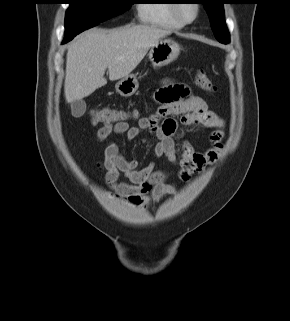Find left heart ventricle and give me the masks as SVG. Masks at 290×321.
<instances>
[{
    "mask_svg": "<svg viewBox=\"0 0 290 321\" xmlns=\"http://www.w3.org/2000/svg\"><path fill=\"white\" fill-rule=\"evenodd\" d=\"M181 12L185 18L191 19L194 17L195 9L191 3H185L181 7Z\"/></svg>",
    "mask_w": 290,
    "mask_h": 321,
    "instance_id": "obj_1",
    "label": "left heart ventricle"
}]
</instances>
